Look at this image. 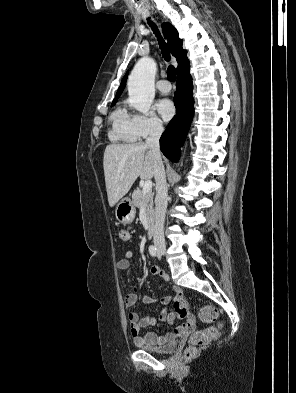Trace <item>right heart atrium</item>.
I'll return each mask as SVG.
<instances>
[{
    "mask_svg": "<svg viewBox=\"0 0 296 393\" xmlns=\"http://www.w3.org/2000/svg\"><path fill=\"white\" fill-rule=\"evenodd\" d=\"M133 125L138 139L157 136L164 129L162 121L154 113L133 115Z\"/></svg>",
    "mask_w": 296,
    "mask_h": 393,
    "instance_id": "right-heart-atrium-1",
    "label": "right heart atrium"
}]
</instances>
